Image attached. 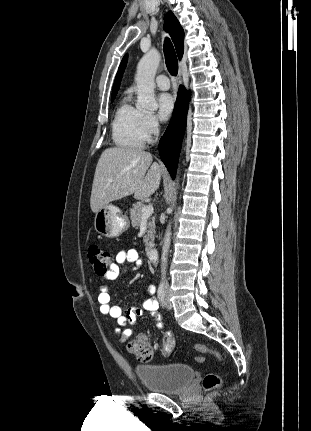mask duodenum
I'll return each mask as SVG.
<instances>
[{"label": "duodenum", "instance_id": "obj_1", "mask_svg": "<svg viewBox=\"0 0 311 431\" xmlns=\"http://www.w3.org/2000/svg\"><path fill=\"white\" fill-rule=\"evenodd\" d=\"M147 257L152 264H156L158 262L159 254L157 249L150 248L147 250Z\"/></svg>", "mask_w": 311, "mask_h": 431}]
</instances>
